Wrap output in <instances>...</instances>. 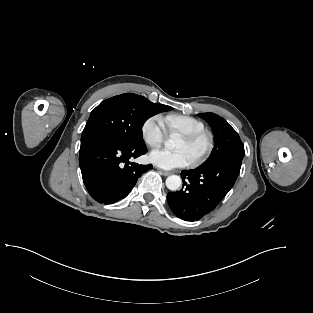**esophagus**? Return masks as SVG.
<instances>
[{
  "label": "esophagus",
  "instance_id": "obj_1",
  "mask_svg": "<svg viewBox=\"0 0 313 313\" xmlns=\"http://www.w3.org/2000/svg\"><path fill=\"white\" fill-rule=\"evenodd\" d=\"M159 172L164 175V176H169L171 174V172H168V171H164V170H161L159 169Z\"/></svg>",
  "mask_w": 313,
  "mask_h": 313
}]
</instances>
